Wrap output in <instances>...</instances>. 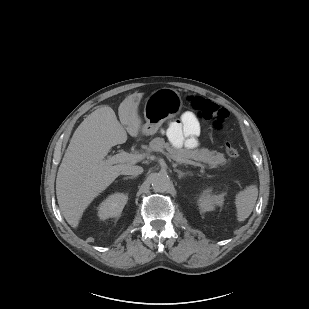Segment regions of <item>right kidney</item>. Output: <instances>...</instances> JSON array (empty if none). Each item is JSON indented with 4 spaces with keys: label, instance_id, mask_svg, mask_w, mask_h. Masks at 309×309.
Wrapping results in <instances>:
<instances>
[{
    "label": "right kidney",
    "instance_id": "obj_1",
    "mask_svg": "<svg viewBox=\"0 0 309 309\" xmlns=\"http://www.w3.org/2000/svg\"><path fill=\"white\" fill-rule=\"evenodd\" d=\"M127 200L128 196L121 193L109 196L98 207L99 218L105 220L111 217H118L126 205Z\"/></svg>",
    "mask_w": 309,
    "mask_h": 309
}]
</instances>
